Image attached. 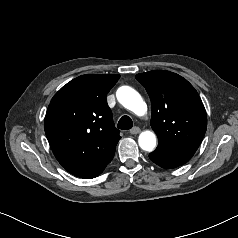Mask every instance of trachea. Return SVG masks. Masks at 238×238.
<instances>
[{
	"label": "trachea",
	"instance_id": "3493384b",
	"mask_svg": "<svg viewBox=\"0 0 238 238\" xmlns=\"http://www.w3.org/2000/svg\"><path fill=\"white\" fill-rule=\"evenodd\" d=\"M133 126L132 119L129 116H122L118 121L117 127L122 130H129Z\"/></svg>",
	"mask_w": 238,
	"mask_h": 238
}]
</instances>
